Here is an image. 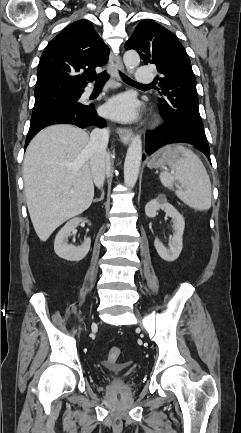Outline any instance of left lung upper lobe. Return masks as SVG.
<instances>
[{
	"mask_svg": "<svg viewBox=\"0 0 241 433\" xmlns=\"http://www.w3.org/2000/svg\"><path fill=\"white\" fill-rule=\"evenodd\" d=\"M125 48L136 50L146 65L157 66L160 75L156 78L162 90L158 108L163 120L207 140L199 114L195 75L178 39L160 24L143 20Z\"/></svg>",
	"mask_w": 241,
	"mask_h": 433,
	"instance_id": "1",
	"label": "left lung upper lobe"
}]
</instances>
